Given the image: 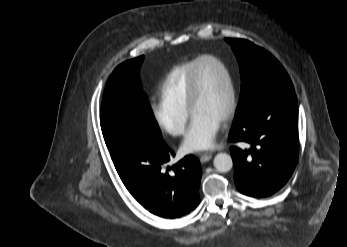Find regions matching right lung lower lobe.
Segmentation results:
<instances>
[{"label":"right lung lower lobe","instance_id":"1","mask_svg":"<svg viewBox=\"0 0 347 247\" xmlns=\"http://www.w3.org/2000/svg\"><path fill=\"white\" fill-rule=\"evenodd\" d=\"M106 145L123 184L151 213L172 219L198 206L201 167L195 156L166 168L173 151L163 139L152 142L136 130H123Z\"/></svg>","mask_w":347,"mask_h":247}]
</instances>
